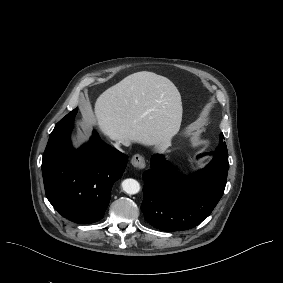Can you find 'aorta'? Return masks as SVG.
Masks as SVG:
<instances>
[{
    "mask_svg": "<svg viewBox=\"0 0 283 283\" xmlns=\"http://www.w3.org/2000/svg\"><path fill=\"white\" fill-rule=\"evenodd\" d=\"M122 189L127 194H137L140 191V184L135 179H125L122 182Z\"/></svg>",
    "mask_w": 283,
    "mask_h": 283,
    "instance_id": "aorta-1",
    "label": "aorta"
}]
</instances>
